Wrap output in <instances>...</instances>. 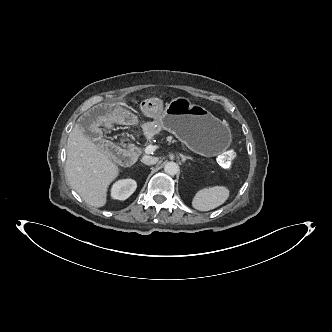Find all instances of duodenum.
Wrapping results in <instances>:
<instances>
[{"label":"duodenum","mask_w":332,"mask_h":332,"mask_svg":"<svg viewBox=\"0 0 332 332\" xmlns=\"http://www.w3.org/2000/svg\"><path fill=\"white\" fill-rule=\"evenodd\" d=\"M120 161L124 164H131L135 157L134 154L129 150H122L118 153Z\"/></svg>","instance_id":"duodenum-1"}]
</instances>
